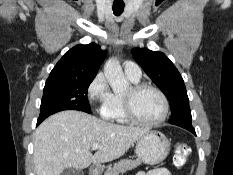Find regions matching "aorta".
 I'll return each instance as SVG.
<instances>
[{
  "instance_id": "762f6f07",
  "label": "aorta",
  "mask_w": 233,
  "mask_h": 175,
  "mask_svg": "<svg viewBox=\"0 0 233 175\" xmlns=\"http://www.w3.org/2000/svg\"><path fill=\"white\" fill-rule=\"evenodd\" d=\"M104 75L115 93L122 92L129 87V82L126 80L120 64L114 59H109L105 63Z\"/></svg>"
}]
</instances>
